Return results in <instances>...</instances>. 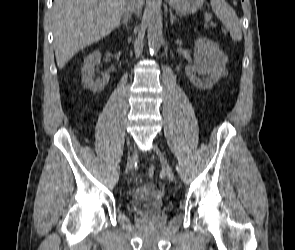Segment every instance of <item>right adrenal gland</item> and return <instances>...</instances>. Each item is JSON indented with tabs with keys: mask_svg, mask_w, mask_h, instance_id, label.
<instances>
[{
	"mask_svg": "<svg viewBox=\"0 0 295 250\" xmlns=\"http://www.w3.org/2000/svg\"><path fill=\"white\" fill-rule=\"evenodd\" d=\"M130 19V16H128V15H125L124 17H123V21L121 22V23H119V25H118V27L119 26H121V24H123L124 26H128V20Z\"/></svg>",
	"mask_w": 295,
	"mask_h": 250,
	"instance_id": "obj_1",
	"label": "right adrenal gland"
}]
</instances>
